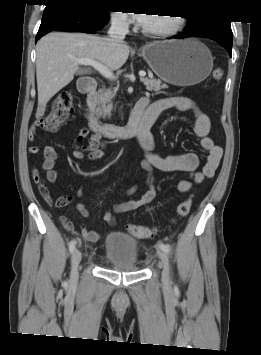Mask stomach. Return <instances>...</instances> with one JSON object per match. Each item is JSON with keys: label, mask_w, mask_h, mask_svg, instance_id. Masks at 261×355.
Segmentation results:
<instances>
[{"label": "stomach", "mask_w": 261, "mask_h": 355, "mask_svg": "<svg viewBox=\"0 0 261 355\" xmlns=\"http://www.w3.org/2000/svg\"><path fill=\"white\" fill-rule=\"evenodd\" d=\"M142 56L160 79L177 86L198 84L213 68L210 50L194 38L147 44Z\"/></svg>", "instance_id": "stomach-1"}]
</instances>
